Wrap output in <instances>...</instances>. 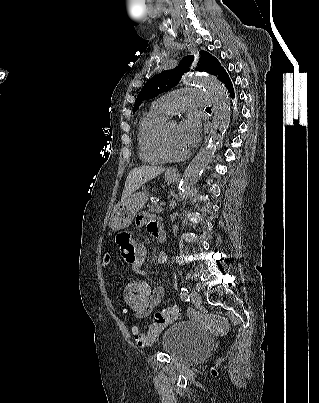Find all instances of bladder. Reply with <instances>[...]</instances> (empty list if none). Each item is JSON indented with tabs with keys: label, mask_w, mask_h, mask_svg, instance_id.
Segmentation results:
<instances>
[{
	"label": "bladder",
	"mask_w": 319,
	"mask_h": 403,
	"mask_svg": "<svg viewBox=\"0 0 319 403\" xmlns=\"http://www.w3.org/2000/svg\"><path fill=\"white\" fill-rule=\"evenodd\" d=\"M211 343V337L206 331L187 321L169 326L160 340L163 351L184 364H193L204 359Z\"/></svg>",
	"instance_id": "31cf9c89"
}]
</instances>
